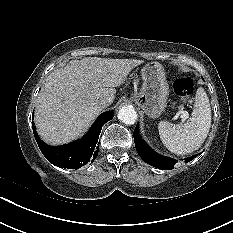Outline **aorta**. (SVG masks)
Here are the masks:
<instances>
[{
    "instance_id": "obj_1",
    "label": "aorta",
    "mask_w": 233,
    "mask_h": 233,
    "mask_svg": "<svg viewBox=\"0 0 233 233\" xmlns=\"http://www.w3.org/2000/svg\"><path fill=\"white\" fill-rule=\"evenodd\" d=\"M137 118V112L132 106H123L118 112V119L127 125L134 124Z\"/></svg>"
}]
</instances>
